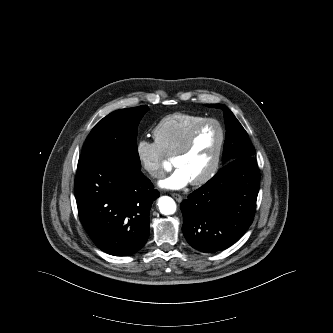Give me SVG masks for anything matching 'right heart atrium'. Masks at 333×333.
I'll return each instance as SVG.
<instances>
[{"mask_svg": "<svg viewBox=\"0 0 333 333\" xmlns=\"http://www.w3.org/2000/svg\"><path fill=\"white\" fill-rule=\"evenodd\" d=\"M135 150L142 169L152 178H161L164 174V156L156 142L140 139Z\"/></svg>", "mask_w": 333, "mask_h": 333, "instance_id": "right-heart-atrium-1", "label": "right heart atrium"}]
</instances>
